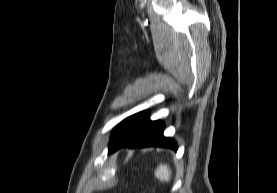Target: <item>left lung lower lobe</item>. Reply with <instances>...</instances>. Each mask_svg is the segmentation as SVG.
Masks as SVG:
<instances>
[{"label":"left lung lower lobe","instance_id":"left-lung-lower-lobe-1","mask_svg":"<svg viewBox=\"0 0 277 193\" xmlns=\"http://www.w3.org/2000/svg\"><path fill=\"white\" fill-rule=\"evenodd\" d=\"M164 123L162 121H150L149 112L143 111L134 114L121 123L112 131L109 141V153L121 147H168L175 151L177 143L163 136Z\"/></svg>","mask_w":277,"mask_h":193}]
</instances>
